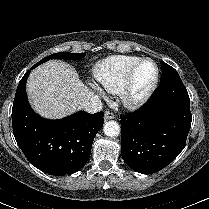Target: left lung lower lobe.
<instances>
[{
	"mask_svg": "<svg viewBox=\"0 0 209 209\" xmlns=\"http://www.w3.org/2000/svg\"><path fill=\"white\" fill-rule=\"evenodd\" d=\"M191 121L183 82L160 84L143 107L121 116L122 158L142 174L161 170L185 147Z\"/></svg>",
	"mask_w": 209,
	"mask_h": 209,
	"instance_id": "obj_1",
	"label": "left lung lower lobe"
}]
</instances>
